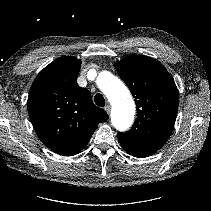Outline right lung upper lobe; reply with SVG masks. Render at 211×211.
<instances>
[{"label": "right lung upper lobe", "instance_id": "obj_1", "mask_svg": "<svg viewBox=\"0 0 211 211\" xmlns=\"http://www.w3.org/2000/svg\"><path fill=\"white\" fill-rule=\"evenodd\" d=\"M81 61L62 56L33 82L28 114L40 140L63 156L79 153L107 113L94 105L90 92L77 84Z\"/></svg>", "mask_w": 211, "mask_h": 211}]
</instances>
